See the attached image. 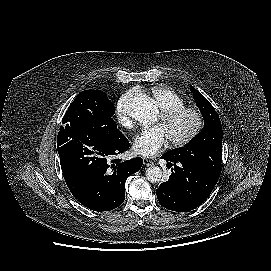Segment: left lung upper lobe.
<instances>
[{
	"label": "left lung upper lobe",
	"mask_w": 271,
	"mask_h": 271,
	"mask_svg": "<svg viewBox=\"0 0 271 271\" xmlns=\"http://www.w3.org/2000/svg\"><path fill=\"white\" fill-rule=\"evenodd\" d=\"M190 89L204 118V128L185 148H176L167 153L176 161L191 164L219 178L223 139L221 122L210 102L193 86Z\"/></svg>",
	"instance_id": "obj_1"
}]
</instances>
